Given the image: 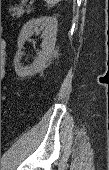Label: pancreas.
I'll return each mask as SVG.
<instances>
[{"mask_svg":"<svg viewBox=\"0 0 109 170\" xmlns=\"http://www.w3.org/2000/svg\"><path fill=\"white\" fill-rule=\"evenodd\" d=\"M12 11L11 16L14 17H21L23 16L25 13H30L32 11V9L26 5H19L18 7L14 8Z\"/></svg>","mask_w":109,"mask_h":170,"instance_id":"1","label":"pancreas"}]
</instances>
